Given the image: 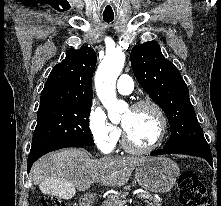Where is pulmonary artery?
Masks as SVG:
<instances>
[{"mask_svg":"<svg viewBox=\"0 0 221 206\" xmlns=\"http://www.w3.org/2000/svg\"><path fill=\"white\" fill-rule=\"evenodd\" d=\"M133 90V80L127 74L120 75L117 82V91L120 94L127 95L130 94Z\"/></svg>","mask_w":221,"mask_h":206,"instance_id":"e3ab8cb5","label":"pulmonary artery"}]
</instances>
